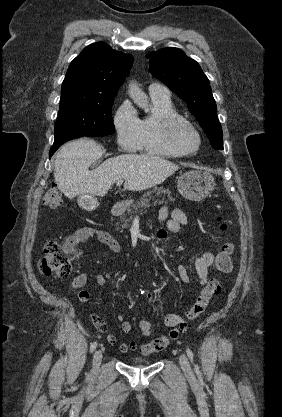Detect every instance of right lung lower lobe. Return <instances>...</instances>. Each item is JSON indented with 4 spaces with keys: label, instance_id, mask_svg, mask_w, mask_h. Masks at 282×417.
I'll use <instances>...</instances> for the list:
<instances>
[{
    "label": "right lung lower lobe",
    "instance_id": "1",
    "mask_svg": "<svg viewBox=\"0 0 282 417\" xmlns=\"http://www.w3.org/2000/svg\"><path fill=\"white\" fill-rule=\"evenodd\" d=\"M84 135H68L62 138H58L54 140V144L50 149V153L49 156L51 157L54 152L66 141L74 139V138H78V137H83Z\"/></svg>",
    "mask_w": 282,
    "mask_h": 417
}]
</instances>
